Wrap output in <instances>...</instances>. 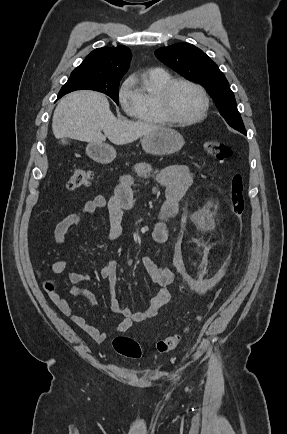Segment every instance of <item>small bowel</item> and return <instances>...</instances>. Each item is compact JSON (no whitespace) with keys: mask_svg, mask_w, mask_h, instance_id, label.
Here are the masks:
<instances>
[{"mask_svg":"<svg viewBox=\"0 0 287 434\" xmlns=\"http://www.w3.org/2000/svg\"><path fill=\"white\" fill-rule=\"evenodd\" d=\"M136 177L150 178L158 182L166 190L165 200L160 208L159 221L155 224L152 237L157 243H165L170 239V227L168 221L177 215L180 200L183 198L194 180V174L189 168L182 164H173L161 170H152L144 163L134 166L132 173L124 175L115 190L114 195L107 200L103 195H96L86 201L81 209L74 214L68 215L60 221L54 231L55 242L62 245L69 230L81 224L84 216L90 215L97 210L106 209L108 219V236L113 240L123 239L125 236L122 225L123 212L135 205L133 184ZM140 262L144 267L150 281L158 286V290L151 298L148 307L140 312H132L125 307L114 296H110V308L115 314L123 317L117 325L115 331L122 333L127 331L134 323L145 322L153 319L158 311L171 300L169 285L174 279V274L169 268L157 266L153 260L147 256H142ZM67 262L65 260H55L52 263L51 271L54 274L65 272ZM116 260H110L100 271L102 279L108 281L113 286L117 281ZM67 280L72 284L70 293L84 298L89 303L95 302V296L87 291L81 290L76 285L85 283L90 279L86 272H67ZM51 300L58 309L81 329H83L93 340L98 343L106 342L110 333L99 330L95 324L89 322L83 316L75 313L68 301L58 294H51Z\"/></svg>","mask_w":287,"mask_h":434,"instance_id":"c3829d8e","label":"small bowel"}]
</instances>
